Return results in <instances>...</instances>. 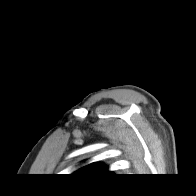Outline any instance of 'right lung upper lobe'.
I'll list each match as a JSON object with an SVG mask.
<instances>
[{
	"label": "right lung upper lobe",
	"mask_w": 196,
	"mask_h": 196,
	"mask_svg": "<svg viewBox=\"0 0 196 196\" xmlns=\"http://www.w3.org/2000/svg\"><path fill=\"white\" fill-rule=\"evenodd\" d=\"M74 174L86 175V176H103L111 174L107 171V168L101 164L92 163L78 169Z\"/></svg>",
	"instance_id": "right-lung-upper-lobe-1"
}]
</instances>
